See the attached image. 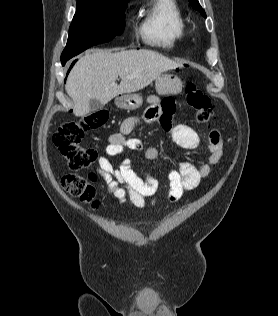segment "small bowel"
Listing matches in <instances>:
<instances>
[{"mask_svg": "<svg viewBox=\"0 0 278 316\" xmlns=\"http://www.w3.org/2000/svg\"><path fill=\"white\" fill-rule=\"evenodd\" d=\"M147 107L143 118L128 117L120 125V130L108 138V144L104 149V155L97 158L98 170L101 173L107 192L118 200L120 204L127 203L129 195L130 203L136 208L145 206V199L154 197L158 190V181L150 175L140 176L132 167L129 159H124L118 166H114L108 157L122 154L126 149L143 151L147 160H155L159 156L156 147H144L139 138L130 137V134L143 122L153 123L161 121L167 125L175 143L183 149L194 150L200 146V138L197 132L190 126L178 124L171 126L169 121L175 110L174 100L164 98L162 102L155 97L148 98ZM224 144L217 129H212L208 135L206 150L208 159L196 165L183 161L175 169L168 173L169 191L168 199L176 202L186 191L199 186L201 181L207 178L212 167L217 165L223 156ZM126 185L123 188L121 185Z\"/></svg>", "mask_w": 278, "mask_h": 316, "instance_id": "1", "label": "small bowel"}]
</instances>
